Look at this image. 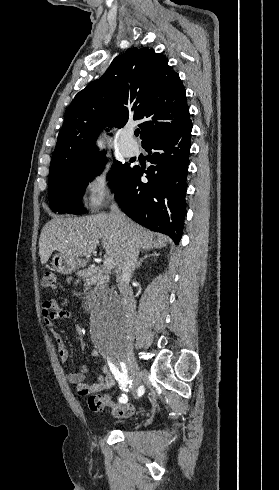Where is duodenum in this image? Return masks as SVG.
<instances>
[{
	"label": "duodenum",
	"mask_w": 279,
	"mask_h": 490,
	"mask_svg": "<svg viewBox=\"0 0 279 490\" xmlns=\"http://www.w3.org/2000/svg\"><path fill=\"white\" fill-rule=\"evenodd\" d=\"M91 298H92V293L89 292L82 300V308L85 311H88L90 309Z\"/></svg>",
	"instance_id": "410a0bca"
}]
</instances>
